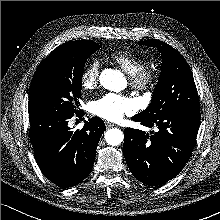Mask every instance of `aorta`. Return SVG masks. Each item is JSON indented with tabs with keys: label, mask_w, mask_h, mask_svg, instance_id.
Returning <instances> with one entry per match:
<instances>
[{
	"label": "aorta",
	"mask_w": 220,
	"mask_h": 220,
	"mask_svg": "<svg viewBox=\"0 0 220 220\" xmlns=\"http://www.w3.org/2000/svg\"><path fill=\"white\" fill-rule=\"evenodd\" d=\"M101 85L108 90L120 91L125 87L126 80L123 74L114 69H105L100 74ZM106 142L109 145L117 146L122 143L124 135L121 130L113 128L109 129L105 134Z\"/></svg>",
	"instance_id": "obj_1"
}]
</instances>
